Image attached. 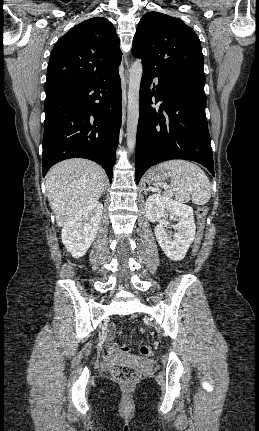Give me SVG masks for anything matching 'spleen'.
Here are the masks:
<instances>
[{
    "label": "spleen",
    "instance_id": "3e777b00",
    "mask_svg": "<svg viewBox=\"0 0 259 431\" xmlns=\"http://www.w3.org/2000/svg\"><path fill=\"white\" fill-rule=\"evenodd\" d=\"M156 169L171 170L173 190H166L165 195H174L175 199L182 203H187L191 199L196 205H204L210 200L209 179L196 164L186 160H170L161 163Z\"/></svg>",
    "mask_w": 259,
    "mask_h": 431
}]
</instances>
